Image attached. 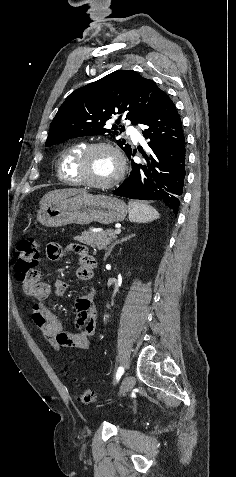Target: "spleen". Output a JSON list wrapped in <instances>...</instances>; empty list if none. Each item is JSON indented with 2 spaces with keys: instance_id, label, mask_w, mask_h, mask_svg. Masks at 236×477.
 Instances as JSON below:
<instances>
[{
  "instance_id": "obj_1",
  "label": "spleen",
  "mask_w": 236,
  "mask_h": 477,
  "mask_svg": "<svg viewBox=\"0 0 236 477\" xmlns=\"http://www.w3.org/2000/svg\"><path fill=\"white\" fill-rule=\"evenodd\" d=\"M129 220L137 223L152 222L160 217L155 208L147 204L130 201L128 204Z\"/></svg>"
}]
</instances>
